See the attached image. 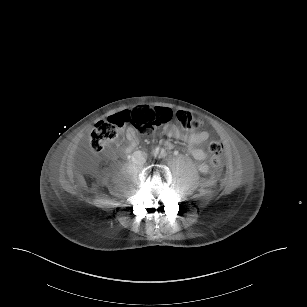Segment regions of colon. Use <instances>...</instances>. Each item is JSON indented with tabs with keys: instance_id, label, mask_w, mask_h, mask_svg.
Returning <instances> with one entry per match:
<instances>
[{
	"instance_id": "5ec220e1",
	"label": "colon",
	"mask_w": 307,
	"mask_h": 307,
	"mask_svg": "<svg viewBox=\"0 0 307 307\" xmlns=\"http://www.w3.org/2000/svg\"><path fill=\"white\" fill-rule=\"evenodd\" d=\"M175 116L179 126L187 132L197 131L202 121L194 117L189 111L178 110L175 113L165 107H135L122 116H111L107 120H99L89 137V150L91 153L102 151L105 145L119 136L125 124L133 125L139 132L149 134L161 125L170 122ZM212 167L217 170L221 167L223 144L218 140H211L208 145Z\"/></svg>"
}]
</instances>
